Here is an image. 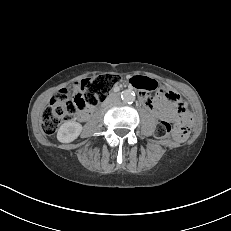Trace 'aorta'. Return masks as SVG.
<instances>
[{
	"mask_svg": "<svg viewBox=\"0 0 231 231\" xmlns=\"http://www.w3.org/2000/svg\"><path fill=\"white\" fill-rule=\"evenodd\" d=\"M122 99L125 102H133L135 100V94L132 91H130V90H126L122 94Z\"/></svg>",
	"mask_w": 231,
	"mask_h": 231,
	"instance_id": "762f6f07",
	"label": "aorta"
}]
</instances>
